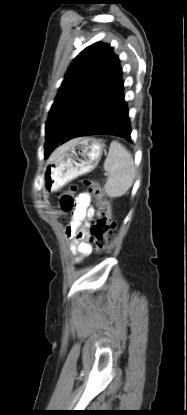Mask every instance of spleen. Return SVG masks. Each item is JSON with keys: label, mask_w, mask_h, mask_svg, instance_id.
<instances>
[{"label": "spleen", "mask_w": 187, "mask_h": 415, "mask_svg": "<svg viewBox=\"0 0 187 415\" xmlns=\"http://www.w3.org/2000/svg\"><path fill=\"white\" fill-rule=\"evenodd\" d=\"M104 170L108 173L104 190L109 197H120L132 186L136 171L134 161L131 153L118 141L110 144Z\"/></svg>", "instance_id": "obj_1"}]
</instances>
